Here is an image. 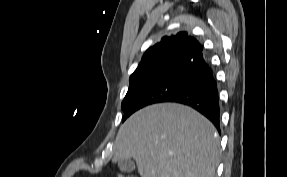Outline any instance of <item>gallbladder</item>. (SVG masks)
<instances>
[{"instance_id": "1", "label": "gallbladder", "mask_w": 287, "mask_h": 177, "mask_svg": "<svg viewBox=\"0 0 287 177\" xmlns=\"http://www.w3.org/2000/svg\"><path fill=\"white\" fill-rule=\"evenodd\" d=\"M118 167L122 172L132 173L135 170V163L131 158L123 159L118 161Z\"/></svg>"}]
</instances>
